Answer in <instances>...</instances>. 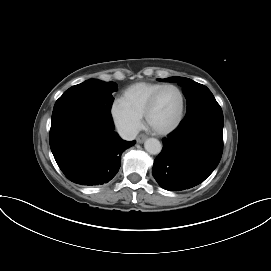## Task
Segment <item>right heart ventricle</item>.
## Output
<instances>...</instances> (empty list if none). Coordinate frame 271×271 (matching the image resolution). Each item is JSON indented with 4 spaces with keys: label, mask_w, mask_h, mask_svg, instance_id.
Returning a JSON list of instances; mask_svg holds the SVG:
<instances>
[{
    "label": "right heart ventricle",
    "mask_w": 271,
    "mask_h": 271,
    "mask_svg": "<svg viewBox=\"0 0 271 271\" xmlns=\"http://www.w3.org/2000/svg\"><path fill=\"white\" fill-rule=\"evenodd\" d=\"M163 85L153 82H138L127 87L122 92L120 99L131 111L142 116L150 97Z\"/></svg>",
    "instance_id": "right-heart-ventricle-1"
}]
</instances>
